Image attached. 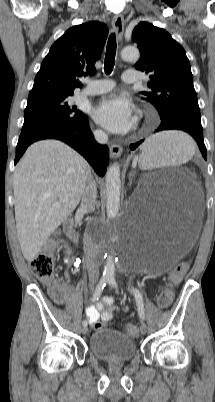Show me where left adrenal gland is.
Wrapping results in <instances>:
<instances>
[{
	"label": "left adrenal gland",
	"instance_id": "left-adrenal-gland-1",
	"mask_svg": "<svg viewBox=\"0 0 215 402\" xmlns=\"http://www.w3.org/2000/svg\"><path fill=\"white\" fill-rule=\"evenodd\" d=\"M133 176H134L133 173H130V174H129V184H130V185L132 184V178H133Z\"/></svg>",
	"mask_w": 215,
	"mask_h": 402
}]
</instances>
